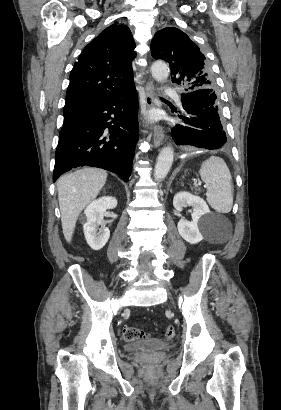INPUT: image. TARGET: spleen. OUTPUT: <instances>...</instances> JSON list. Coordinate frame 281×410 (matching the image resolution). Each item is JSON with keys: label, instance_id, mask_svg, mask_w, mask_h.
<instances>
[{"label": "spleen", "instance_id": "1", "mask_svg": "<svg viewBox=\"0 0 281 410\" xmlns=\"http://www.w3.org/2000/svg\"><path fill=\"white\" fill-rule=\"evenodd\" d=\"M199 174L207 189L209 205L219 213H229L233 206V185L225 161L211 156L202 163Z\"/></svg>", "mask_w": 281, "mask_h": 410}]
</instances>
